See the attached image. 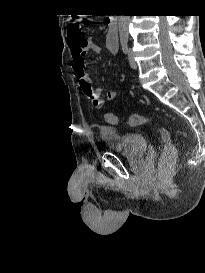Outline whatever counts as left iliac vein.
<instances>
[{
  "label": "left iliac vein",
  "mask_w": 205,
  "mask_h": 273,
  "mask_svg": "<svg viewBox=\"0 0 205 273\" xmlns=\"http://www.w3.org/2000/svg\"><path fill=\"white\" fill-rule=\"evenodd\" d=\"M128 58H129V63L132 69H137V63L134 60V54L133 51L131 49H129V53H128Z\"/></svg>",
  "instance_id": "1"
}]
</instances>
